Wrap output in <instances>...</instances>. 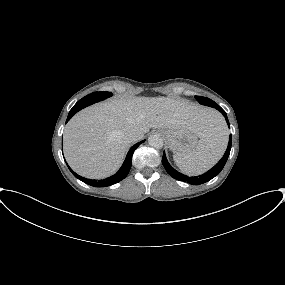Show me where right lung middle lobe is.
<instances>
[{
    "label": "right lung middle lobe",
    "instance_id": "1",
    "mask_svg": "<svg viewBox=\"0 0 285 285\" xmlns=\"http://www.w3.org/2000/svg\"><path fill=\"white\" fill-rule=\"evenodd\" d=\"M111 96H112L111 92H93V93L85 96L81 100H79L75 105H81L83 103L84 104L88 103L87 105L81 107V108H84L86 106H89L93 103L104 100V99L111 97ZM90 101H92V102H90Z\"/></svg>",
    "mask_w": 285,
    "mask_h": 285
}]
</instances>
